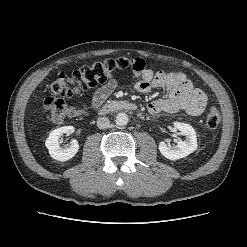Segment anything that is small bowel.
Segmentation results:
<instances>
[{
    "mask_svg": "<svg viewBox=\"0 0 247 247\" xmlns=\"http://www.w3.org/2000/svg\"><path fill=\"white\" fill-rule=\"evenodd\" d=\"M132 60L133 73L134 76L138 78L135 85L137 91L148 93L155 88H161L167 91V96L165 98L152 101L148 105V111L151 114H158L161 112H185L190 116H198L203 113L207 97L202 90L193 86L184 72H153L146 67L143 59L135 58ZM116 86V80L110 79L105 84L95 89L91 97L92 106H98L112 94ZM79 114H86V110H80Z\"/></svg>",
    "mask_w": 247,
    "mask_h": 247,
    "instance_id": "1",
    "label": "small bowel"
}]
</instances>
